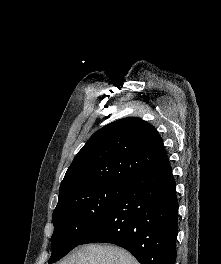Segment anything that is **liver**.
<instances>
[{"mask_svg": "<svg viewBox=\"0 0 221 264\" xmlns=\"http://www.w3.org/2000/svg\"><path fill=\"white\" fill-rule=\"evenodd\" d=\"M58 264H139V262L120 247L91 244L76 249Z\"/></svg>", "mask_w": 221, "mask_h": 264, "instance_id": "6515ba94", "label": "liver"}]
</instances>
